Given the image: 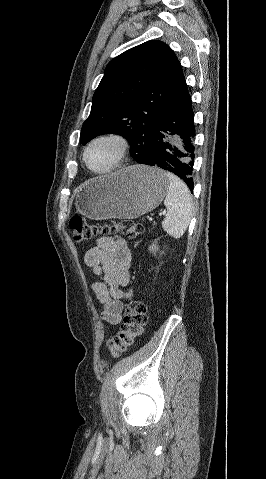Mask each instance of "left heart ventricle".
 Returning <instances> with one entry per match:
<instances>
[{
    "label": "left heart ventricle",
    "instance_id": "left-heart-ventricle-1",
    "mask_svg": "<svg viewBox=\"0 0 266 479\" xmlns=\"http://www.w3.org/2000/svg\"><path fill=\"white\" fill-rule=\"evenodd\" d=\"M117 148L111 142H102L95 145L88 154L89 164L99 170L110 167L116 157Z\"/></svg>",
    "mask_w": 266,
    "mask_h": 479
}]
</instances>
